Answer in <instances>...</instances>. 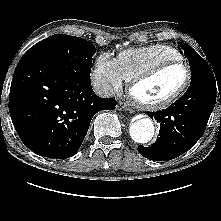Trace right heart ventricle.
<instances>
[{
	"instance_id": "e07e8e85",
	"label": "right heart ventricle",
	"mask_w": 221,
	"mask_h": 221,
	"mask_svg": "<svg viewBox=\"0 0 221 221\" xmlns=\"http://www.w3.org/2000/svg\"><path fill=\"white\" fill-rule=\"evenodd\" d=\"M182 59V54L176 48L165 44H154L124 50L119 53L116 61L123 79L131 81L156 64L167 60Z\"/></svg>"
}]
</instances>
